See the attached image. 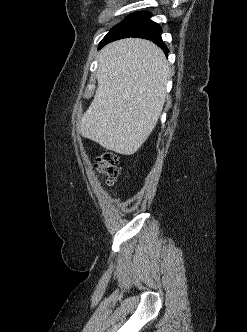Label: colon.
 I'll return each mask as SVG.
<instances>
[{"label": "colon", "instance_id": "1", "mask_svg": "<svg viewBox=\"0 0 247 332\" xmlns=\"http://www.w3.org/2000/svg\"><path fill=\"white\" fill-rule=\"evenodd\" d=\"M95 167L105 177L107 185H112L118 175V157L111 151H103L96 157Z\"/></svg>", "mask_w": 247, "mask_h": 332}]
</instances>
